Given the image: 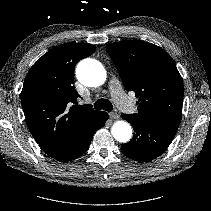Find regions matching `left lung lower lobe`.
Returning <instances> with one entry per match:
<instances>
[{"instance_id": "left-lung-lower-lobe-1", "label": "left lung lower lobe", "mask_w": 211, "mask_h": 211, "mask_svg": "<svg viewBox=\"0 0 211 211\" xmlns=\"http://www.w3.org/2000/svg\"><path fill=\"white\" fill-rule=\"evenodd\" d=\"M121 116L135 131L132 140L121 145V150L125 156L138 162H148L160 156L170 145L179 127L177 123L144 121L126 114Z\"/></svg>"}]
</instances>
